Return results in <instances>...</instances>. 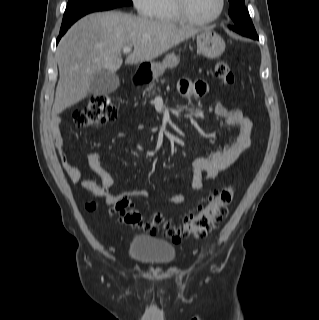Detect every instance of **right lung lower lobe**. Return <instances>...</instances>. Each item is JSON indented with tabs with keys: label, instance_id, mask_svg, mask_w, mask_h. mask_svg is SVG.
Segmentation results:
<instances>
[{
	"label": "right lung lower lobe",
	"instance_id": "right-lung-lower-lobe-1",
	"mask_svg": "<svg viewBox=\"0 0 319 320\" xmlns=\"http://www.w3.org/2000/svg\"><path fill=\"white\" fill-rule=\"evenodd\" d=\"M68 28H69V27H68ZM68 28H65V29L61 28V30H60V35H59V37L57 38V43L59 42L60 38L64 35V33L68 30Z\"/></svg>",
	"mask_w": 319,
	"mask_h": 320
}]
</instances>
